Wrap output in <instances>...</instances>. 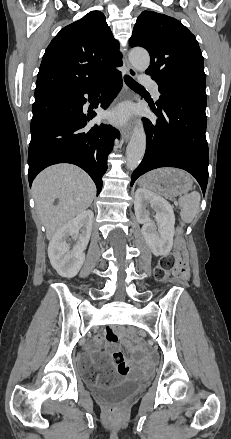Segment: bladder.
Returning <instances> with one entry per match:
<instances>
[{
    "instance_id": "1",
    "label": "bladder",
    "mask_w": 231,
    "mask_h": 439,
    "mask_svg": "<svg viewBox=\"0 0 231 439\" xmlns=\"http://www.w3.org/2000/svg\"><path fill=\"white\" fill-rule=\"evenodd\" d=\"M76 368L78 374L84 379L98 372V366L94 364L93 359L86 356H81L77 360ZM146 383L147 381L142 378L126 379L110 386H93L92 391L96 397L101 399H123L139 392Z\"/></svg>"
}]
</instances>
